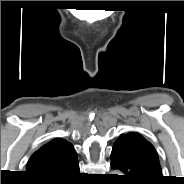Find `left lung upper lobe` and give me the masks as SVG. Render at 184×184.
<instances>
[{
	"label": "left lung upper lobe",
	"mask_w": 184,
	"mask_h": 184,
	"mask_svg": "<svg viewBox=\"0 0 184 184\" xmlns=\"http://www.w3.org/2000/svg\"><path fill=\"white\" fill-rule=\"evenodd\" d=\"M115 143L125 145L135 154L146 158L152 162L160 171L158 154L155 148L144 137L138 133H128L121 135Z\"/></svg>",
	"instance_id": "5c2ea615"
}]
</instances>
